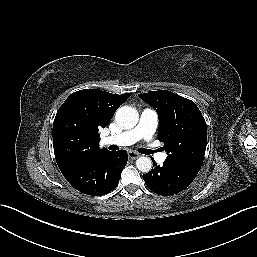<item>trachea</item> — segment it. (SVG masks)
I'll use <instances>...</instances> for the list:
<instances>
[{"instance_id": "trachea-1", "label": "trachea", "mask_w": 257, "mask_h": 257, "mask_svg": "<svg viewBox=\"0 0 257 257\" xmlns=\"http://www.w3.org/2000/svg\"><path fill=\"white\" fill-rule=\"evenodd\" d=\"M139 152L142 153V154H146V155L151 154V150L145 149V148H140Z\"/></svg>"}]
</instances>
